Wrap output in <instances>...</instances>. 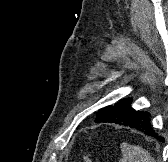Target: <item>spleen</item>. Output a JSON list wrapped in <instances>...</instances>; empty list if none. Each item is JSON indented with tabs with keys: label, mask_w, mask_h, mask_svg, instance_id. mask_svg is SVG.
<instances>
[{
	"label": "spleen",
	"mask_w": 168,
	"mask_h": 162,
	"mask_svg": "<svg viewBox=\"0 0 168 162\" xmlns=\"http://www.w3.org/2000/svg\"><path fill=\"white\" fill-rule=\"evenodd\" d=\"M122 159L119 162H156L148 151L140 146L121 144Z\"/></svg>",
	"instance_id": "spleen-1"
}]
</instances>
